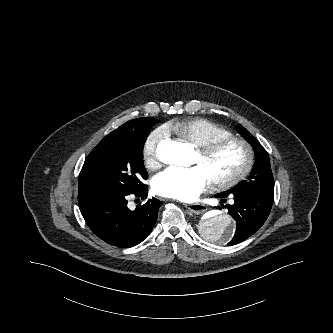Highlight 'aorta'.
Wrapping results in <instances>:
<instances>
[{
  "label": "aorta",
  "instance_id": "obj_1",
  "mask_svg": "<svg viewBox=\"0 0 333 333\" xmlns=\"http://www.w3.org/2000/svg\"><path fill=\"white\" fill-rule=\"evenodd\" d=\"M158 158L166 164H185L188 162L190 150L187 145L176 141H164L158 145ZM234 222L232 218L223 212L212 211L202 221L201 235L209 241L227 242L234 234Z\"/></svg>",
  "mask_w": 333,
  "mask_h": 333
}]
</instances>
